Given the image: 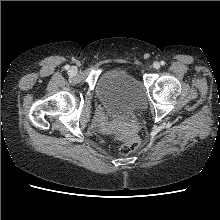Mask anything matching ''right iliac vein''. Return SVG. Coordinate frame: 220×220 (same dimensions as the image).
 Here are the masks:
<instances>
[{
	"label": "right iliac vein",
	"instance_id": "obj_1",
	"mask_svg": "<svg viewBox=\"0 0 220 220\" xmlns=\"http://www.w3.org/2000/svg\"><path fill=\"white\" fill-rule=\"evenodd\" d=\"M70 73H71L72 75H75V74L77 73V68H76V67H71V68H70Z\"/></svg>",
	"mask_w": 220,
	"mask_h": 220
}]
</instances>
